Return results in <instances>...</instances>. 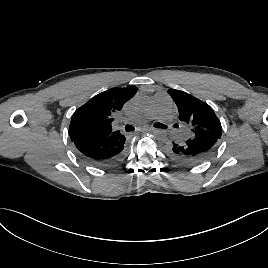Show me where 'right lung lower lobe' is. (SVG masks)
<instances>
[{
	"label": "right lung lower lobe",
	"mask_w": 268,
	"mask_h": 268,
	"mask_svg": "<svg viewBox=\"0 0 268 268\" xmlns=\"http://www.w3.org/2000/svg\"><path fill=\"white\" fill-rule=\"evenodd\" d=\"M126 138L120 132L107 137L74 141L79 157L97 167H109L121 159Z\"/></svg>",
	"instance_id": "98d812e1"
}]
</instances>
